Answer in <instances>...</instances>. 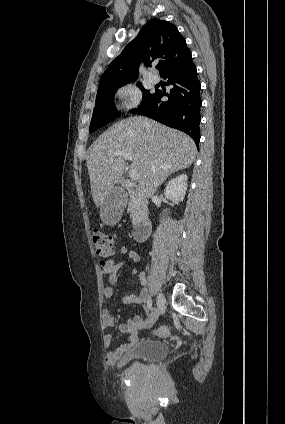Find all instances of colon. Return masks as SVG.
Segmentation results:
<instances>
[{
  "label": "colon",
  "instance_id": "5ec220e1",
  "mask_svg": "<svg viewBox=\"0 0 285 424\" xmlns=\"http://www.w3.org/2000/svg\"><path fill=\"white\" fill-rule=\"evenodd\" d=\"M92 244L98 258L106 264V268H111L109 260L113 254L114 235L101 230H94L92 234ZM171 332L167 325L160 326L155 334L158 336H166Z\"/></svg>",
  "mask_w": 285,
  "mask_h": 424
}]
</instances>
